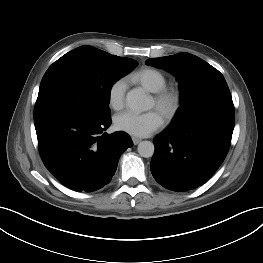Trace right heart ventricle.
Instances as JSON below:
<instances>
[{"instance_id": "right-heart-ventricle-1", "label": "right heart ventricle", "mask_w": 263, "mask_h": 263, "mask_svg": "<svg viewBox=\"0 0 263 263\" xmlns=\"http://www.w3.org/2000/svg\"><path fill=\"white\" fill-rule=\"evenodd\" d=\"M129 80L152 93L159 91L167 83L165 75L152 67L140 68L129 76Z\"/></svg>"}]
</instances>
